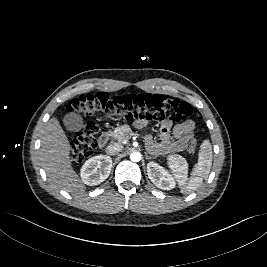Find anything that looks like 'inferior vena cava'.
I'll list each match as a JSON object with an SVG mask.
<instances>
[{
    "label": "inferior vena cava",
    "instance_id": "inferior-vena-cava-1",
    "mask_svg": "<svg viewBox=\"0 0 267 267\" xmlns=\"http://www.w3.org/2000/svg\"><path fill=\"white\" fill-rule=\"evenodd\" d=\"M122 149H123V146L121 144L113 143L107 146L106 153L108 155H116L117 153L122 151Z\"/></svg>",
    "mask_w": 267,
    "mask_h": 267
}]
</instances>
